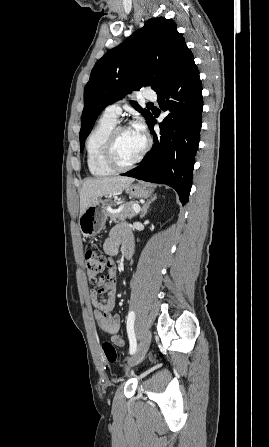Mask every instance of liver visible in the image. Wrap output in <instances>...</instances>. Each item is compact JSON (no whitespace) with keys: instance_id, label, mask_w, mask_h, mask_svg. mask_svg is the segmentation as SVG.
<instances>
[{"instance_id":"1","label":"liver","mask_w":269,"mask_h":447,"mask_svg":"<svg viewBox=\"0 0 269 447\" xmlns=\"http://www.w3.org/2000/svg\"><path fill=\"white\" fill-rule=\"evenodd\" d=\"M132 182H134V178H122V176H117V178H97V180L88 178V180L83 182L80 192V216L84 214L86 208H88L91 202H94L95 198L125 190V188L131 186Z\"/></svg>"}]
</instances>
